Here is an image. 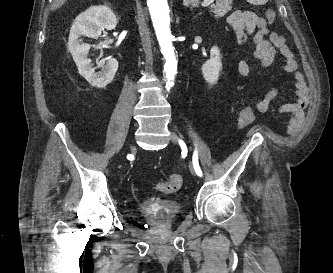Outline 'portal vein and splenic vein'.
I'll use <instances>...</instances> for the list:
<instances>
[{"mask_svg": "<svg viewBox=\"0 0 333 273\" xmlns=\"http://www.w3.org/2000/svg\"><path fill=\"white\" fill-rule=\"evenodd\" d=\"M213 2H214V0H204L201 5L203 7H206V6L210 5Z\"/></svg>", "mask_w": 333, "mask_h": 273, "instance_id": "portal-vein-and-splenic-vein-1", "label": "portal vein and splenic vein"}]
</instances>
